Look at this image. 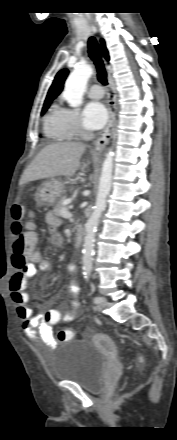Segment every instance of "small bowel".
Listing matches in <instances>:
<instances>
[{
    "label": "small bowel",
    "instance_id": "c3829d8e",
    "mask_svg": "<svg viewBox=\"0 0 177 440\" xmlns=\"http://www.w3.org/2000/svg\"><path fill=\"white\" fill-rule=\"evenodd\" d=\"M45 219L51 243L54 246H61L64 239L58 231L61 224L59 218L49 212L46 214ZM49 268V262L42 259L36 253L25 268L17 269L13 272L8 280V289L11 292L17 315L22 321V327L26 336L37 344H44L48 348H53L56 345L53 327L62 321H72L79 314L80 305L77 301H73L71 310L66 313H62L49 305L43 306L42 310L36 314L33 312L32 307L28 304V295L25 291L27 280L34 277L39 270L45 272ZM68 272L70 275H74L76 273V266L70 264ZM69 290L73 295L79 292V288L74 281H71Z\"/></svg>",
    "mask_w": 177,
    "mask_h": 440
}]
</instances>
